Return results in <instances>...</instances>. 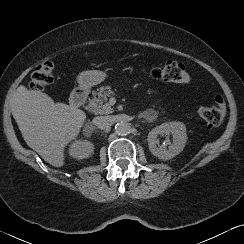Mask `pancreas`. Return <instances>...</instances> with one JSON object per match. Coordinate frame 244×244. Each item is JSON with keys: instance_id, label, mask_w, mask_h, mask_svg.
Returning a JSON list of instances; mask_svg holds the SVG:
<instances>
[{"instance_id": "obj_1", "label": "pancreas", "mask_w": 244, "mask_h": 244, "mask_svg": "<svg viewBox=\"0 0 244 244\" xmlns=\"http://www.w3.org/2000/svg\"><path fill=\"white\" fill-rule=\"evenodd\" d=\"M114 95L111 86H103L97 89L94 93V98L91 100L94 104V111L98 114H109L113 112V108L107 103L108 97Z\"/></svg>"}]
</instances>
